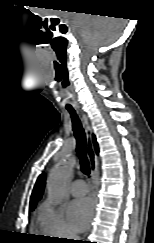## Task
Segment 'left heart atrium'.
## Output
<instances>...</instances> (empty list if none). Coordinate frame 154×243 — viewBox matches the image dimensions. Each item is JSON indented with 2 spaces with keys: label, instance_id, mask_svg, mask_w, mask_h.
<instances>
[{
  "label": "left heart atrium",
  "instance_id": "1",
  "mask_svg": "<svg viewBox=\"0 0 154 243\" xmlns=\"http://www.w3.org/2000/svg\"><path fill=\"white\" fill-rule=\"evenodd\" d=\"M92 215L93 204L89 198L76 199L69 205V221L73 229L77 232L84 231L88 227Z\"/></svg>",
  "mask_w": 154,
  "mask_h": 243
}]
</instances>
